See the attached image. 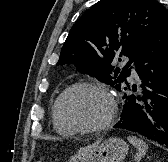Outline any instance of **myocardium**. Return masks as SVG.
Returning a JSON list of instances; mask_svg holds the SVG:
<instances>
[{
    "instance_id": "myocardium-1",
    "label": "myocardium",
    "mask_w": 168,
    "mask_h": 162,
    "mask_svg": "<svg viewBox=\"0 0 168 162\" xmlns=\"http://www.w3.org/2000/svg\"><path fill=\"white\" fill-rule=\"evenodd\" d=\"M78 89H92V90H96L98 92H101L102 94H104L111 105V110L109 115L107 116V118L96 125H80V124H76L73 123L71 121H69L66 116L63 113V102L65 100V98L72 92L78 90ZM117 111H118V107H117V102L114 98V96L112 95V93L104 86L100 85V84H96V83H92V82H78L75 83L71 86H69L68 88H66L57 98L56 101V115L58 120L68 129L74 131V132H100V131H104L106 129H108L116 115H117Z\"/></svg>"
}]
</instances>
